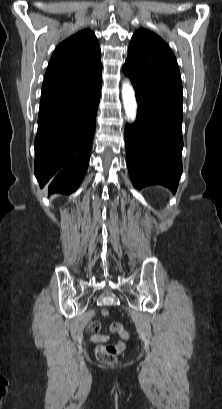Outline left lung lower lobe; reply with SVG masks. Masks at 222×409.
Segmentation results:
<instances>
[{
  "label": "left lung lower lobe",
  "mask_w": 222,
  "mask_h": 409,
  "mask_svg": "<svg viewBox=\"0 0 222 409\" xmlns=\"http://www.w3.org/2000/svg\"><path fill=\"white\" fill-rule=\"evenodd\" d=\"M133 85L137 120L125 127L131 180L137 189L159 184L175 192L182 173V102L146 85Z\"/></svg>",
  "instance_id": "left-lung-lower-lobe-1"
}]
</instances>
